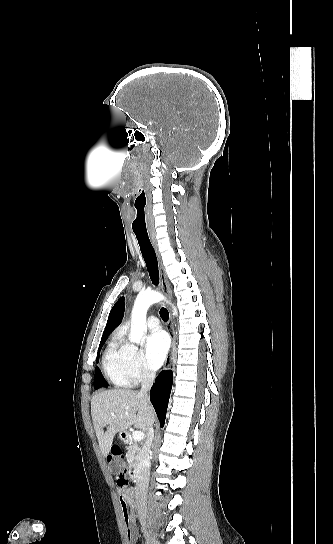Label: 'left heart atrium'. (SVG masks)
<instances>
[{
    "label": "left heart atrium",
    "instance_id": "39dd6f15",
    "mask_svg": "<svg viewBox=\"0 0 333 544\" xmlns=\"http://www.w3.org/2000/svg\"><path fill=\"white\" fill-rule=\"evenodd\" d=\"M169 349V339L162 331H155L148 336L145 355L149 365L158 369L164 362Z\"/></svg>",
    "mask_w": 333,
    "mask_h": 544
}]
</instances>
